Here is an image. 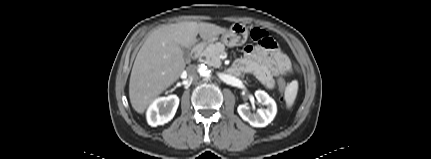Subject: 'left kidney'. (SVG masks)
I'll return each mask as SVG.
<instances>
[{"instance_id": "1", "label": "left kidney", "mask_w": 431, "mask_h": 159, "mask_svg": "<svg viewBox=\"0 0 431 159\" xmlns=\"http://www.w3.org/2000/svg\"><path fill=\"white\" fill-rule=\"evenodd\" d=\"M255 97L259 103L267 106V108H260L256 113H251L249 107L242 104L238 106L237 111L240 117L251 126L265 127L274 119L277 113V106L275 101L265 91L257 90Z\"/></svg>"}]
</instances>
